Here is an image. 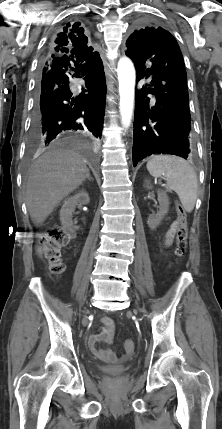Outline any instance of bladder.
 <instances>
[{
    "label": "bladder",
    "mask_w": 222,
    "mask_h": 429,
    "mask_svg": "<svg viewBox=\"0 0 222 429\" xmlns=\"http://www.w3.org/2000/svg\"><path fill=\"white\" fill-rule=\"evenodd\" d=\"M129 369V366H97L100 374L110 377H118L124 375Z\"/></svg>",
    "instance_id": "1"
}]
</instances>
